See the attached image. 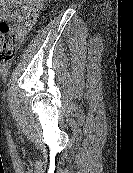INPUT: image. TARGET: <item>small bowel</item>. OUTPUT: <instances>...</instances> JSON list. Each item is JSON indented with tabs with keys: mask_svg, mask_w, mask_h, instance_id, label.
Segmentation results:
<instances>
[{
	"mask_svg": "<svg viewBox=\"0 0 133 173\" xmlns=\"http://www.w3.org/2000/svg\"><path fill=\"white\" fill-rule=\"evenodd\" d=\"M44 0H0V21L9 19L19 40L33 27Z\"/></svg>",
	"mask_w": 133,
	"mask_h": 173,
	"instance_id": "1",
	"label": "small bowel"
}]
</instances>
